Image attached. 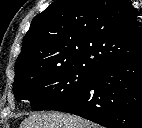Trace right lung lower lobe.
<instances>
[{
    "instance_id": "98d812e1",
    "label": "right lung lower lobe",
    "mask_w": 142,
    "mask_h": 128,
    "mask_svg": "<svg viewBox=\"0 0 142 128\" xmlns=\"http://www.w3.org/2000/svg\"><path fill=\"white\" fill-rule=\"evenodd\" d=\"M56 110L107 128H142V53L98 70L84 91Z\"/></svg>"
}]
</instances>
